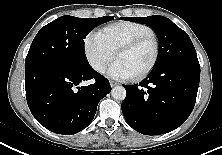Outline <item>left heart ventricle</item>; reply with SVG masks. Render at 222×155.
<instances>
[{
  "instance_id": "obj_1",
  "label": "left heart ventricle",
  "mask_w": 222,
  "mask_h": 155,
  "mask_svg": "<svg viewBox=\"0 0 222 155\" xmlns=\"http://www.w3.org/2000/svg\"><path fill=\"white\" fill-rule=\"evenodd\" d=\"M154 43L152 40L145 41L135 49L126 51L117 57L131 70L133 75L142 72L152 61L154 56Z\"/></svg>"
}]
</instances>
